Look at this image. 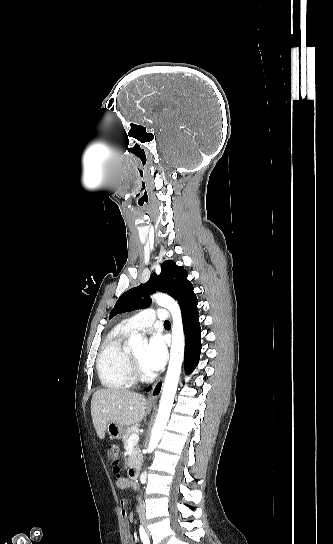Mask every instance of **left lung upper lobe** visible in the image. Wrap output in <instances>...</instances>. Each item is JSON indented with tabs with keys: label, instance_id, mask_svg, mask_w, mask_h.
I'll return each instance as SVG.
<instances>
[{
	"label": "left lung upper lobe",
	"instance_id": "left-lung-upper-lobe-1",
	"mask_svg": "<svg viewBox=\"0 0 333 544\" xmlns=\"http://www.w3.org/2000/svg\"><path fill=\"white\" fill-rule=\"evenodd\" d=\"M187 276L188 272L182 266H177L172 260L164 261L159 275L153 273L145 284H140L119 297L109 318L119 313L147 308L151 303L150 294L156 290L172 296L180 307L197 301L193 285Z\"/></svg>",
	"mask_w": 333,
	"mask_h": 544
}]
</instances>
